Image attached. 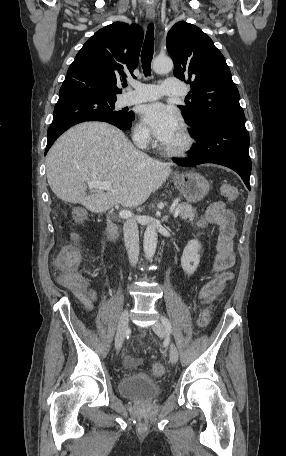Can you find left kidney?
I'll list each match as a JSON object with an SVG mask.
<instances>
[{
	"label": "left kidney",
	"instance_id": "obj_1",
	"mask_svg": "<svg viewBox=\"0 0 286 456\" xmlns=\"http://www.w3.org/2000/svg\"><path fill=\"white\" fill-rule=\"evenodd\" d=\"M201 244L198 240H190L183 250L181 257V267L187 275H192L200 262Z\"/></svg>",
	"mask_w": 286,
	"mask_h": 456
}]
</instances>
